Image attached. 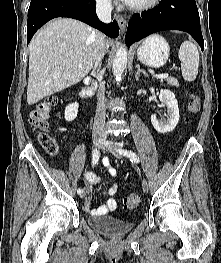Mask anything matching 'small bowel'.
<instances>
[{"label":"small bowel","instance_id":"c3829d8e","mask_svg":"<svg viewBox=\"0 0 221 263\" xmlns=\"http://www.w3.org/2000/svg\"><path fill=\"white\" fill-rule=\"evenodd\" d=\"M103 164L108 167V173L111 177H115L117 174V171L110 166L109 159L107 157L103 158ZM84 178L87 181L89 188H88V201L85 203V209L88 210L90 213L95 215H103L108 213L109 211H112L116 208V201L113 198V196L116 193L117 186L116 184H113L110 187H107L104 189V194L109 197L106 203L102 204L99 207H92L91 205V188L90 186L93 184H97L100 181V178L94 174L93 172H85Z\"/></svg>","mask_w":221,"mask_h":263}]
</instances>
